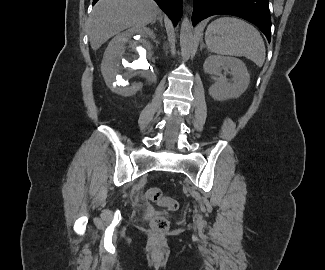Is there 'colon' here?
Masks as SVG:
<instances>
[{"label": "colon", "mask_w": 325, "mask_h": 270, "mask_svg": "<svg viewBox=\"0 0 325 270\" xmlns=\"http://www.w3.org/2000/svg\"><path fill=\"white\" fill-rule=\"evenodd\" d=\"M145 195L149 200L157 203L168 211H176L178 209V202L174 198L166 196L157 187L147 189ZM150 226L157 232H165L169 228V221L163 216H155L151 219Z\"/></svg>", "instance_id": "obj_1"}]
</instances>
